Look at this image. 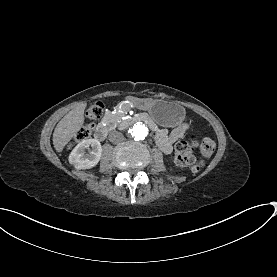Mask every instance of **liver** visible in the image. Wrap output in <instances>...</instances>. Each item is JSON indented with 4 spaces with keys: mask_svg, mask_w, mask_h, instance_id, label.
Listing matches in <instances>:
<instances>
[{
    "mask_svg": "<svg viewBox=\"0 0 277 277\" xmlns=\"http://www.w3.org/2000/svg\"><path fill=\"white\" fill-rule=\"evenodd\" d=\"M86 106V103L78 105L69 111L57 124L53 133V145L57 152H62L67 143L82 127Z\"/></svg>",
    "mask_w": 277,
    "mask_h": 277,
    "instance_id": "6515ba94",
    "label": "liver"
}]
</instances>
